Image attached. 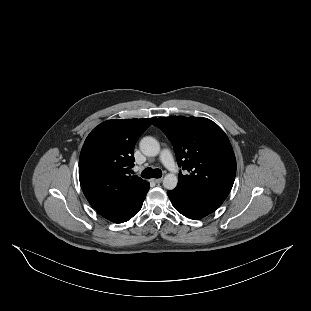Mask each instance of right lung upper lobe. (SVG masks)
<instances>
[{
  "instance_id": "right-lung-upper-lobe-1",
  "label": "right lung upper lobe",
  "mask_w": 311,
  "mask_h": 311,
  "mask_svg": "<svg viewBox=\"0 0 311 311\" xmlns=\"http://www.w3.org/2000/svg\"><path fill=\"white\" fill-rule=\"evenodd\" d=\"M155 118L112 119L95 127L79 158L82 191L104 218L119 223L145 194L149 182L130 176L133 150Z\"/></svg>"
}]
</instances>
